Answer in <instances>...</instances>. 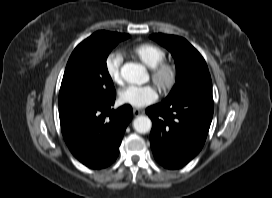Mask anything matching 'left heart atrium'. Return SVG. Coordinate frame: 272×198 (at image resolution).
I'll return each mask as SVG.
<instances>
[{
    "label": "left heart atrium",
    "instance_id": "39dd6f15",
    "mask_svg": "<svg viewBox=\"0 0 272 198\" xmlns=\"http://www.w3.org/2000/svg\"><path fill=\"white\" fill-rule=\"evenodd\" d=\"M158 97L157 90L152 85H129L119 92V101L122 104L141 108L152 104Z\"/></svg>",
    "mask_w": 272,
    "mask_h": 198
}]
</instances>
